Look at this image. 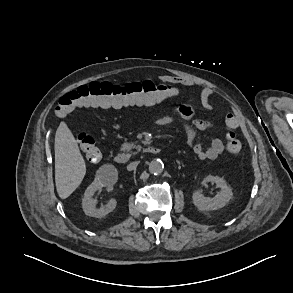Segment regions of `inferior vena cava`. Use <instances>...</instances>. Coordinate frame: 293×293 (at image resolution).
I'll list each match as a JSON object with an SVG mask.
<instances>
[{
  "label": "inferior vena cava",
  "instance_id": "inferior-vena-cava-1",
  "mask_svg": "<svg viewBox=\"0 0 293 293\" xmlns=\"http://www.w3.org/2000/svg\"><path fill=\"white\" fill-rule=\"evenodd\" d=\"M138 164H139V162H137V161H136V162H132V163H130V164L127 166V170H128V171L135 170Z\"/></svg>",
  "mask_w": 293,
  "mask_h": 293
}]
</instances>
